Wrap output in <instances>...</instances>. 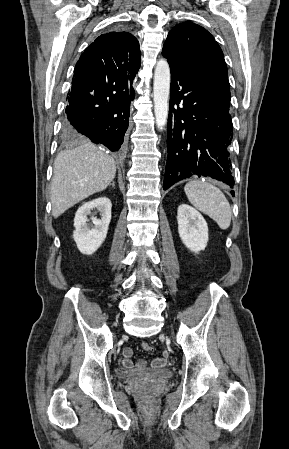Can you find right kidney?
I'll return each instance as SVG.
<instances>
[{"mask_svg":"<svg viewBox=\"0 0 289 449\" xmlns=\"http://www.w3.org/2000/svg\"><path fill=\"white\" fill-rule=\"evenodd\" d=\"M111 201L106 197H100L84 203L76 212L74 218V241L82 254H93L104 242L111 221ZM93 209L101 213V219L91 217L93 225L89 226L88 215Z\"/></svg>","mask_w":289,"mask_h":449,"instance_id":"ca27d5eb","label":"right kidney"}]
</instances>
